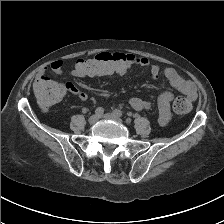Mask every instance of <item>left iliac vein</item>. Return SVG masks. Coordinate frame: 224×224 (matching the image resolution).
Wrapping results in <instances>:
<instances>
[{"mask_svg":"<svg viewBox=\"0 0 224 224\" xmlns=\"http://www.w3.org/2000/svg\"><path fill=\"white\" fill-rule=\"evenodd\" d=\"M103 117L105 119H110V120H114L118 123H122V119L119 116L115 115L114 113H106V114H104Z\"/></svg>","mask_w":224,"mask_h":224,"instance_id":"1","label":"left iliac vein"}]
</instances>
